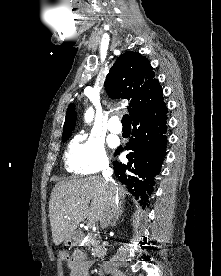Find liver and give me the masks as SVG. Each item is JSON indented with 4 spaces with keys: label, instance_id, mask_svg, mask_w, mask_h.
Returning a JSON list of instances; mask_svg holds the SVG:
<instances>
[{
    "label": "liver",
    "instance_id": "liver-1",
    "mask_svg": "<svg viewBox=\"0 0 221 276\" xmlns=\"http://www.w3.org/2000/svg\"><path fill=\"white\" fill-rule=\"evenodd\" d=\"M110 186L111 183L100 176L60 181L55 185L49 201V218L55 245H60L74 233L79 223L86 218L90 223L100 221ZM114 186L119 198L123 199L126 189L115 182Z\"/></svg>",
    "mask_w": 221,
    "mask_h": 276
}]
</instances>
